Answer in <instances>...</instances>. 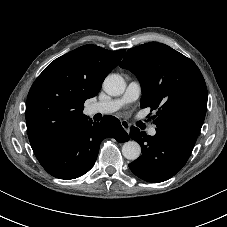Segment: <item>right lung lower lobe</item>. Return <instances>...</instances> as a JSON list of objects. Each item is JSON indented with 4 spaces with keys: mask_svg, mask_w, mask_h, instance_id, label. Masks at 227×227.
I'll return each instance as SVG.
<instances>
[{
    "mask_svg": "<svg viewBox=\"0 0 227 227\" xmlns=\"http://www.w3.org/2000/svg\"><path fill=\"white\" fill-rule=\"evenodd\" d=\"M126 137L128 134L122 128L120 121L106 115L100 123L86 120L62 137L38 161L52 176L59 179H74L89 171L98 155L103 139Z\"/></svg>",
    "mask_w": 227,
    "mask_h": 227,
    "instance_id": "1",
    "label": "right lung lower lobe"
}]
</instances>
